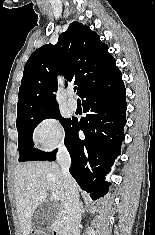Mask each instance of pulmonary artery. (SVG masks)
I'll use <instances>...</instances> for the list:
<instances>
[{"mask_svg":"<svg viewBox=\"0 0 155 235\" xmlns=\"http://www.w3.org/2000/svg\"><path fill=\"white\" fill-rule=\"evenodd\" d=\"M67 103H68V106L71 110L77 109V106H78L77 100L73 95V91H71V90L69 91V97H68Z\"/></svg>","mask_w":155,"mask_h":235,"instance_id":"pulmonary-artery-1","label":"pulmonary artery"}]
</instances>
